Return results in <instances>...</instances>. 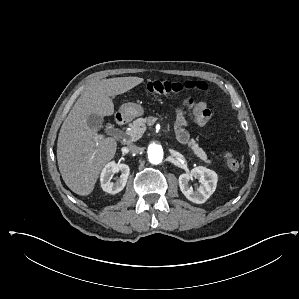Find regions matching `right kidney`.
<instances>
[{
    "label": "right kidney",
    "mask_w": 299,
    "mask_h": 299,
    "mask_svg": "<svg viewBox=\"0 0 299 299\" xmlns=\"http://www.w3.org/2000/svg\"><path fill=\"white\" fill-rule=\"evenodd\" d=\"M121 172L120 178L116 182H111L113 175ZM129 166L123 163H108L102 170L100 175V182L102 189L110 194H116L122 191L126 185L129 176Z\"/></svg>",
    "instance_id": "right-kidney-1"
}]
</instances>
